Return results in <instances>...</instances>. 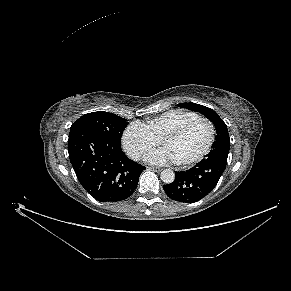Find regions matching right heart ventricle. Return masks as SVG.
Wrapping results in <instances>:
<instances>
[{"label": "right heart ventricle", "mask_w": 291, "mask_h": 291, "mask_svg": "<svg viewBox=\"0 0 291 291\" xmlns=\"http://www.w3.org/2000/svg\"><path fill=\"white\" fill-rule=\"evenodd\" d=\"M197 117H199V115L193 111L178 109L169 110L152 118L148 122L147 127L158 139L161 140L170 131Z\"/></svg>", "instance_id": "e07e8e85"}]
</instances>
